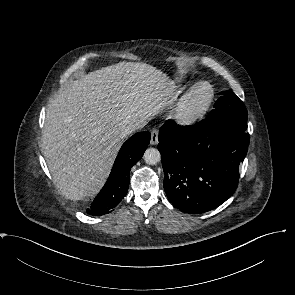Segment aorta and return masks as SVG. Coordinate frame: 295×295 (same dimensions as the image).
<instances>
[{"label": "aorta", "instance_id": "aorta-1", "mask_svg": "<svg viewBox=\"0 0 295 295\" xmlns=\"http://www.w3.org/2000/svg\"><path fill=\"white\" fill-rule=\"evenodd\" d=\"M161 159L160 152L155 148H148L144 153V160L149 165L157 164Z\"/></svg>", "mask_w": 295, "mask_h": 295}]
</instances>
